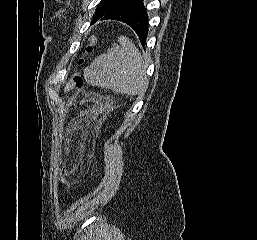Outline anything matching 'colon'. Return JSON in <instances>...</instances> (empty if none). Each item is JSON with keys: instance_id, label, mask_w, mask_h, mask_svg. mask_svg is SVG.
<instances>
[{"instance_id": "1", "label": "colon", "mask_w": 257, "mask_h": 240, "mask_svg": "<svg viewBox=\"0 0 257 240\" xmlns=\"http://www.w3.org/2000/svg\"><path fill=\"white\" fill-rule=\"evenodd\" d=\"M95 45H96V38L91 37L89 39V44H88V47H87V53L88 54H90L94 51ZM83 61H84L83 59H80L79 64H82ZM82 86H83L82 73L81 72H76L72 76V78L70 79V81L67 85V90L74 89V88L80 89V88H82Z\"/></svg>"}]
</instances>
